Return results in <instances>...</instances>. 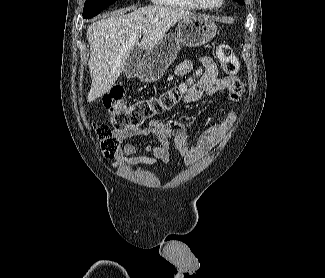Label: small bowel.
<instances>
[{
    "instance_id": "c3829d8e",
    "label": "small bowel",
    "mask_w": 325,
    "mask_h": 278,
    "mask_svg": "<svg viewBox=\"0 0 325 278\" xmlns=\"http://www.w3.org/2000/svg\"><path fill=\"white\" fill-rule=\"evenodd\" d=\"M199 61L204 67V73L200 81L186 93L182 105L197 102L203 95L223 96L228 94L233 102H238L243 91L242 82L232 76L218 77L217 66L209 56H202ZM192 68L193 61L184 60L176 67L175 74L186 75ZM236 118V113L229 112L222 122L211 125L202 131L195 140H191L183 124L174 119H152L145 127L114 130L113 137L119 144L114 152L116 162L119 165L167 164L170 146L173 142L184 157L186 165L191 166L198 156L210 150L212 143L229 129ZM148 135H153L158 144H122L125 139Z\"/></svg>"
}]
</instances>
